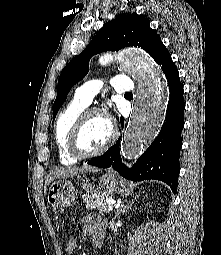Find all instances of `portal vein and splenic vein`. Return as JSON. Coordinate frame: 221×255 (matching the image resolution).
<instances>
[{"label": "portal vein and splenic vein", "instance_id": "portal-vein-and-splenic-vein-1", "mask_svg": "<svg viewBox=\"0 0 221 255\" xmlns=\"http://www.w3.org/2000/svg\"><path fill=\"white\" fill-rule=\"evenodd\" d=\"M106 202L109 204V211H112L115 208H118L119 207V203L115 204V202L111 201L110 199H107Z\"/></svg>", "mask_w": 221, "mask_h": 255}]
</instances>
